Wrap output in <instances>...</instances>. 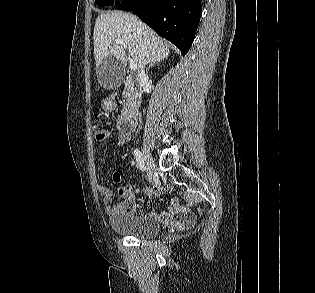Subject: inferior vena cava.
Returning <instances> with one entry per match:
<instances>
[{"mask_svg":"<svg viewBox=\"0 0 315 293\" xmlns=\"http://www.w3.org/2000/svg\"><path fill=\"white\" fill-rule=\"evenodd\" d=\"M138 76L140 78H145V79L147 78V75L145 74V66L144 65L140 66Z\"/></svg>","mask_w":315,"mask_h":293,"instance_id":"obj_1","label":"inferior vena cava"}]
</instances>
